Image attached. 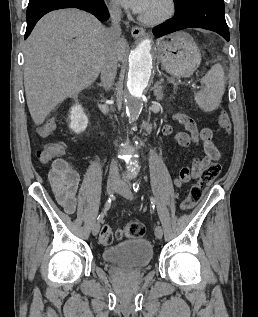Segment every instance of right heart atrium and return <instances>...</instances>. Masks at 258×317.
<instances>
[{"instance_id":"1","label":"right heart atrium","mask_w":258,"mask_h":317,"mask_svg":"<svg viewBox=\"0 0 258 317\" xmlns=\"http://www.w3.org/2000/svg\"><path fill=\"white\" fill-rule=\"evenodd\" d=\"M112 8H113L114 10H116V9H117L115 5H113V6H112Z\"/></svg>"}]
</instances>
